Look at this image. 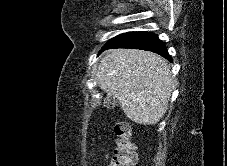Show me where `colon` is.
Masks as SVG:
<instances>
[{
	"instance_id": "obj_1",
	"label": "colon",
	"mask_w": 227,
	"mask_h": 166,
	"mask_svg": "<svg viewBox=\"0 0 227 166\" xmlns=\"http://www.w3.org/2000/svg\"><path fill=\"white\" fill-rule=\"evenodd\" d=\"M116 148L109 166H133L136 162L132 130L126 122H118L115 127Z\"/></svg>"
}]
</instances>
